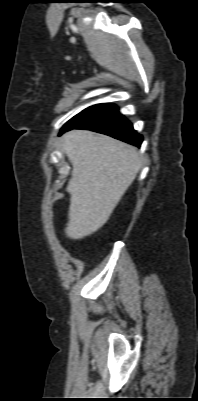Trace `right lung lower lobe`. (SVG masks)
<instances>
[{
    "label": "right lung lower lobe",
    "mask_w": 198,
    "mask_h": 401,
    "mask_svg": "<svg viewBox=\"0 0 198 401\" xmlns=\"http://www.w3.org/2000/svg\"><path fill=\"white\" fill-rule=\"evenodd\" d=\"M71 129H85L109 135L124 142L140 146L142 136L137 134L132 124L123 117L113 104H102L100 108ZM62 132V133H64Z\"/></svg>",
    "instance_id": "right-lung-lower-lobe-1"
}]
</instances>
